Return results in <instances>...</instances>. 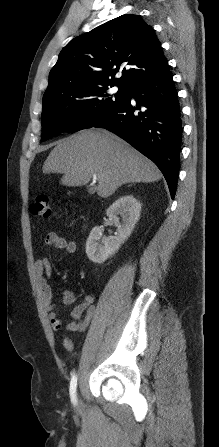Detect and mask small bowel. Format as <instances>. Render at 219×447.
Segmentation results:
<instances>
[{"label":"small bowel","instance_id":"c3829d8e","mask_svg":"<svg viewBox=\"0 0 219 447\" xmlns=\"http://www.w3.org/2000/svg\"><path fill=\"white\" fill-rule=\"evenodd\" d=\"M44 243L48 246H52L56 249L65 250L70 254H75L77 247L72 241H68L63 236L51 232L44 237ZM36 274L40 285L41 296L43 304L48 313V319L51 323L54 331H59L65 327L71 332H84L95 312L94 297L92 295H86L83 300L76 305L69 312L71 321L63 325L60 319V313L56 310L53 303V291L49 284V280L52 278V267L48 258H40L35 264ZM59 297L63 305H71L75 301V294L69 289H64L59 292ZM64 345L68 348H72V343L69 339H64Z\"/></svg>","mask_w":219,"mask_h":447}]
</instances>
